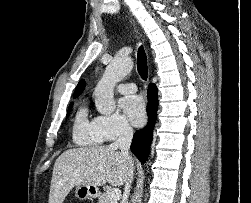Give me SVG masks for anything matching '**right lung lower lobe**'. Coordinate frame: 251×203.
<instances>
[{
	"label": "right lung lower lobe",
	"mask_w": 251,
	"mask_h": 203,
	"mask_svg": "<svg viewBox=\"0 0 251 203\" xmlns=\"http://www.w3.org/2000/svg\"><path fill=\"white\" fill-rule=\"evenodd\" d=\"M158 90L155 84L148 87V124L140 131H136L131 144V151L141 161L145 162L149 156L150 144L153 137V129L158 109Z\"/></svg>",
	"instance_id": "98d812e1"
}]
</instances>
